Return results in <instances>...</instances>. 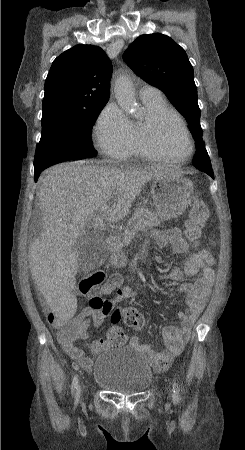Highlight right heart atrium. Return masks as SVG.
I'll use <instances>...</instances> for the list:
<instances>
[{"mask_svg": "<svg viewBox=\"0 0 245 450\" xmlns=\"http://www.w3.org/2000/svg\"><path fill=\"white\" fill-rule=\"evenodd\" d=\"M99 151L108 158L124 161L133 152V123L114 102L101 111L93 130Z\"/></svg>", "mask_w": 245, "mask_h": 450, "instance_id": "d8ad5b80", "label": "right heart atrium"}]
</instances>
